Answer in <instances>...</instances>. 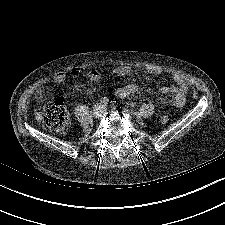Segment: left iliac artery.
Returning a JSON list of instances; mask_svg holds the SVG:
<instances>
[{"mask_svg": "<svg viewBox=\"0 0 225 225\" xmlns=\"http://www.w3.org/2000/svg\"><path fill=\"white\" fill-rule=\"evenodd\" d=\"M110 106H111L112 108H116V107H117V102H116V101H111Z\"/></svg>", "mask_w": 225, "mask_h": 225, "instance_id": "left-iliac-artery-1", "label": "left iliac artery"}]
</instances>
